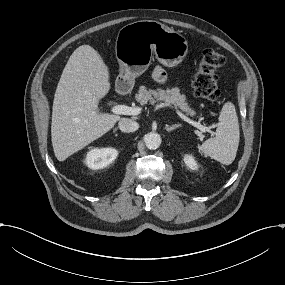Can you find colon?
<instances>
[{"label": "colon", "mask_w": 285, "mask_h": 285, "mask_svg": "<svg viewBox=\"0 0 285 285\" xmlns=\"http://www.w3.org/2000/svg\"><path fill=\"white\" fill-rule=\"evenodd\" d=\"M225 62V56L216 49L209 48L203 51L193 78V90L197 97L208 101H216L220 97L216 71Z\"/></svg>", "instance_id": "colon-1"}]
</instances>
